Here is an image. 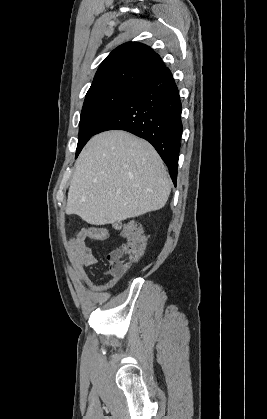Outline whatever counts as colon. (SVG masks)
<instances>
[{
	"mask_svg": "<svg viewBox=\"0 0 267 419\" xmlns=\"http://www.w3.org/2000/svg\"><path fill=\"white\" fill-rule=\"evenodd\" d=\"M125 242L109 254V272L120 276L127 272L144 254L145 238L141 226L132 220L116 224Z\"/></svg>",
	"mask_w": 267,
	"mask_h": 419,
	"instance_id": "1",
	"label": "colon"
}]
</instances>
